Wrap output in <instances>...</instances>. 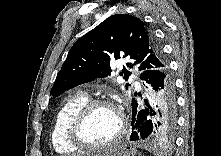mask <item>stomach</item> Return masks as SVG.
<instances>
[{
	"label": "stomach",
	"mask_w": 221,
	"mask_h": 156,
	"mask_svg": "<svg viewBox=\"0 0 221 156\" xmlns=\"http://www.w3.org/2000/svg\"><path fill=\"white\" fill-rule=\"evenodd\" d=\"M135 154L136 151L134 148L127 144H120L103 151L101 155L90 156H135Z\"/></svg>",
	"instance_id": "stomach-1"
}]
</instances>
